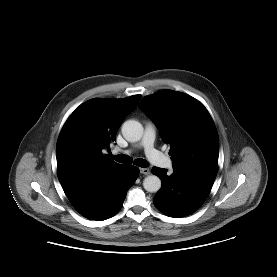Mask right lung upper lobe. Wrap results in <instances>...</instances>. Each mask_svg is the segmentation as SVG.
<instances>
[{
  "mask_svg": "<svg viewBox=\"0 0 277 277\" xmlns=\"http://www.w3.org/2000/svg\"><path fill=\"white\" fill-rule=\"evenodd\" d=\"M141 95L125 99H91L67 119L56 146L57 174L65 194L82 188L120 165L102 152L110 151L116 132Z\"/></svg>",
  "mask_w": 277,
  "mask_h": 277,
  "instance_id": "right-lung-upper-lobe-1",
  "label": "right lung upper lobe"
}]
</instances>
